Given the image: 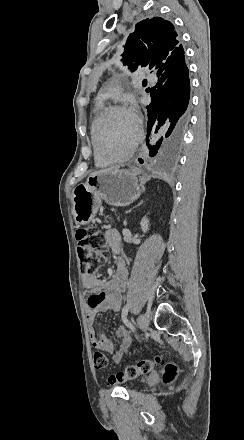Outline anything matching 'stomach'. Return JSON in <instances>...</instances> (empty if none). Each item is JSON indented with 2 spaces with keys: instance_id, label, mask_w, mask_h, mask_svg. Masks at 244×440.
Segmentation results:
<instances>
[{
  "instance_id": "1",
  "label": "stomach",
  "mask_w": 244,
  "mask_h": 440,
  "mask_svg": "<svg viewBox=\"0 0 244 440\" xmlns=\"http://www.w3.org/2000/svg\"><path fill=\"white\" fill-rule=\"evenodd\" d=\"M140 170H112L89 176L86 184H78L72 194V214L77 226H87L95 218L102 200L110 206H129L139 198Z\"/></svg>"
}]
</instances>
